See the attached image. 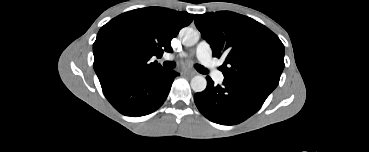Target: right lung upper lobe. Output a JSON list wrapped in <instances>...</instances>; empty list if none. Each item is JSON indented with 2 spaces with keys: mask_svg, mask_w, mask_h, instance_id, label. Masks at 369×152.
<instances>
[{
  "mask_svg": "<svg viewBox=\"0 0 369 152\" xmlns=\"http://www.w3.org/2000/svg\"><path fill=\"white\" fill-rule=\"evenodd\" d=\"M193 14L161 7L125 12L105 24L93 44L94 70L102 90L137 75L163 69L152 56L171 52V40L189 25Z\"/></svg>",
  "mask_w": 369,
  "mask_h": 152,
  "instance_id": "cb5924a9",
  "label": "right lung upper lobe"
}]
</instances>
